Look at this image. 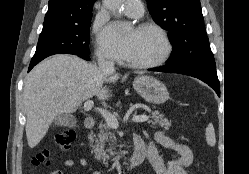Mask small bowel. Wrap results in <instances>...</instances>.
<instances>
[{
  "instance_id": "c3829d8e",
  "label": "small bowel",
  "mask_w": 249,
  "mask_h": 174,
  "mask_svg": "<svg viewBox=\"0 0 249 174\" xmlns=\"http://www.w3.org/2000/svg\"><path fill=\"white\" fill-rule=\"evenodd\" d=\"M155 140L162 147L174 150L177 153L175 159L165 163L158 151L151 143L144 141L140 136H136L135 142L146 147V157L156 174H187V168L191 166L194 160V154L190 147L185 144L176 142L165 132L159 131L155 134ZM78 165L89 169L91 174H101L99 171L92 170L89 162L85 158H80L78 161L68 159L62 163L64 168H75ZM48 174H64L61 170H53Z\"/></svg>"
}]
</instances>
